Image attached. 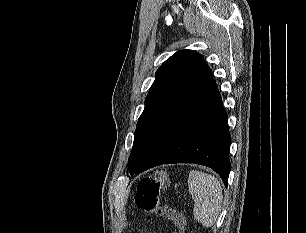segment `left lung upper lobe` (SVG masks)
Segmentation results:
<instances>
[{"mask_svg": "<svg viewBox=\"0 0 306 233\" xmlns=\"http://www.w3.org/2000/svg\"><path fill=\"white\" fill-rule=\"evenodd\" d=\"M138 120L128 170L135 174L165 134L216 83L201 54L180 50L157 70Z\"/></svg>", "mask_w": 306, "mask_h": 233, "instance_id": "obj_1", "label": "left lung upper lobe"}]
</instances>
